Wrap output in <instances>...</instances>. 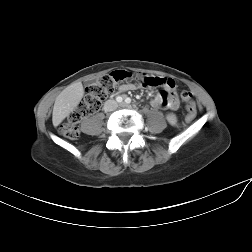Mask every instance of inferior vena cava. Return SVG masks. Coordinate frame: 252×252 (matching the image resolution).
I'll use <instances>...</instances> for the list:
<instances>
[{"label":"inferior vena cava","mask_w":252,"mask_h":252,"mask_svg":"<svg viewBox=\"0 0 252 252\" xmlns=\"http://www.w3.org/2000/svg\"><path fill=\"white\" fill-rule=\"evenodd\" d=\"M118 107V104L115 100H107L104 104V111H113Z\"/></svg>","instance_id":"602c4592"}]
</instances>
